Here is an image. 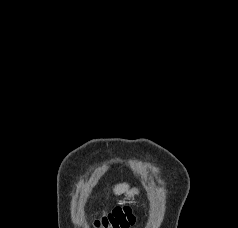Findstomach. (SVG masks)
<instances>
[{
  "label": "stomach",
  "instance_id": "stomach-1",
  "mask_svg": "<svg viewBox=\"0 0 238 228\" xmlns=\"http://www.w3.org/2000/svg\"><path fill=\"white\" fill-rule=\"evenodd\" d=\"M139 192V189L138 188H134V189H131V190H127L125 195L128 196V197H133L135 194H138Z\"/></svg>",
  "mask_w": 238,
  "mask_h": 228
}]
</instances>
